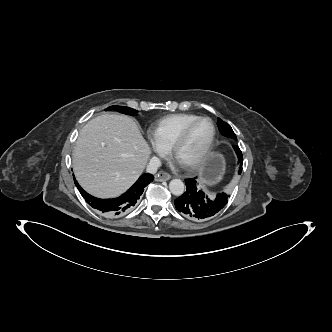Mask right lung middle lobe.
Segmentation results:
<instances>
[{"label":"right lung middle lobe","mask_w":332,"mask_h":332,"mask_svg":"<svg viewBox=\"0 0 332 332\" xmlns=\"http://www.w3.org/2000/svg\"><path fill=\"white\" fill-rule=\"evenodd\" d=\"M108 110H116L118 112H122L127 115H136L137 111L135 109L125 107V106H110Z\"/></svg>","instance_id":"1"}]
</instances>
